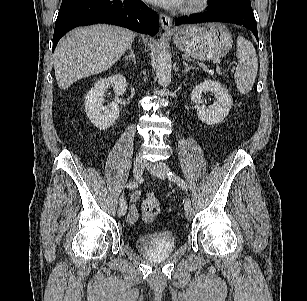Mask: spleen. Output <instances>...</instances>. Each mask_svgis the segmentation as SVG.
I'll return each instance as SVG.
<instances>
[{
    "label": "spleen",
    "instance_id": "3e777b00",
    "mask_svg": "<svg viewBox=\"0 0 307 301\" xmlns=\"http://www.w3.org/2000/svg\"><path fill=\"white\" fill-rule=\"evenodd\" d=\"M236 57L238 65L234 74L235 83L241 94H247L254 85L258 61L253 44L242 36L237 38Z\"/></svg>",
    "mask_w": 307,
    "mask_h": 301
}]
</instances>
